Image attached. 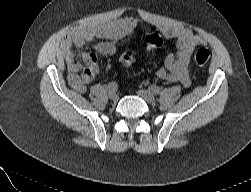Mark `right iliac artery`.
<instances>
[{"label":"right iliac artery","instance_id":"obj_1","mask_svg":"<svg viewBox=\"0 0 251 192\" xmlns=\"http://www.w3.org/2000/svg\"><path fill=\"white\" fill-rule=\"evenodd\" d=\"M117 88H118V84H117V82H110V83H108V85H106V90L107 91H116L117 90Z\"/></svg>","mask_w":251,"mask_h":192}]
</instances>
